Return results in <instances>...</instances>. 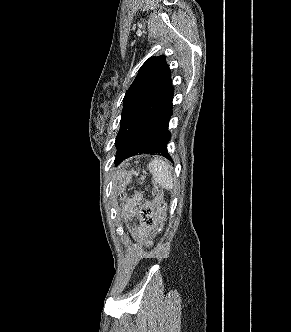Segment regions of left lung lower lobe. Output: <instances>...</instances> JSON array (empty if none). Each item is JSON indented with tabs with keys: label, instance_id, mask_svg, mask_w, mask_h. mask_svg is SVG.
I'll return each instance as SVG.
<instances>
[{
	"label": "left lung lower lobe",
	"instance_id": "obj_1",
	"mask_svg": "<svg viewBox=\"0 0 291 332\" xmlns=\"http://www.w3.org/2000/svg\"><path fill=\"white\" fill-rule=\"evenodd\" d=\"M172 81L155 98L147 103L140 117L138 127L129 141L117 151L115 164L137 153H158L169 160L167 144L170 140L168 124L172 116Z\"/></svg>",
	"mask_w": 291,
	"mask_h": 332
}]
</instances>
